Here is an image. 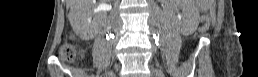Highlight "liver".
Listing matches in <instances>:
<instances>
[{
	"label": "liver",
	"mask_w": 258,
	"mask_h": 77,
	"mask_svg": "<svg viewBox=\"0 0 258 77\" xmlns=\"http://www.w3.org/2000/svg\"><path fill=\"white\" fill-rule=\"evenodd\" d=\"M92 3V0H67V6L70 8V13L68 15L71 24L74 22L75 12H83Z\"/></svg>",
	"instance_id": "1"
}]
</instances>
